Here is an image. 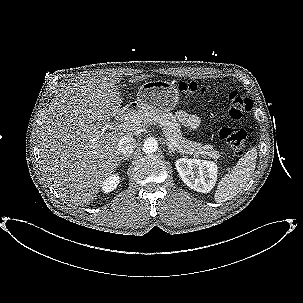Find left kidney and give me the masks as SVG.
Instances as JSON below:
<instances>
[{"instance_id": "5707ae66", "label": "left kidney", "mask_w": 303, "mask_h": 303, "mask_svg": "<svg viewBox=\"0 0 303 303\" xmlns=\"http://www.w3.org/2000/svg\"><path fill=\"white\" fill-rule=\"evenodd\" d=\"M183 182L197 192L208 193L217 179V165L214 162L180 158L175 163Z\"/></svg>"}]
</instances>
